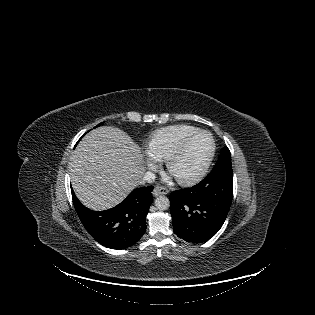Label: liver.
I'll return each mask as SVG.
<instances>
[{
    "label": "liver",
    "mask_w": 315,
    "mask_h": 315,
    "mask_svg": "<svg viewBox=\"0 0 315 315\" xmlns=\"http://www.w3.org/2000/svg\"><path fill=\"white\" fill-rule=\"evenodd\" d=\"M144 170L138 145L112 126L96 128L84 136L70 162L74 192L93 210L119 204L142 182Z\"/></svg>",
    "instance_id": "6515ba94"
}]
</instances>
